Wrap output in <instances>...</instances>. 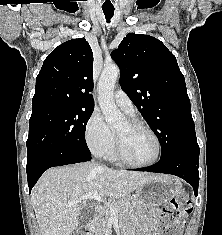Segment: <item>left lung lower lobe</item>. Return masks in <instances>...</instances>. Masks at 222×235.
<instances>
[{"instance_id":"obj_1","label":"left lung lower lobe","mask_w":222,"mask_h":235,"mask_svg":"<svg viewBox=\"0 0 222 235\" xmlns=\"http://www.w3.org/2000/svg\"><path fill=\"white\" fill-rule=\"evenodd\" d=\"M199 152L200 151L191 150L177 151L162 157L160 161L153 166L135 170L178 176L193 187L194 194L197 196L199 184Z\"/></svg>"}]
</instances>
